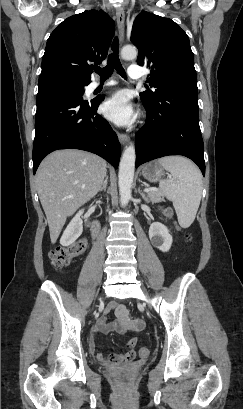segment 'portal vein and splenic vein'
<instances>
[{
  "label": "portal vein and splenic vein",
  "mask_w": 243,
  "mask_h": 409,
  "mask_svg": "<svg viewBox=\"0 0 243 409\" xmlns=\"http://www.w3.org/2000/svg\"><path fill=\"white\" fill-rule=\"evenodd\" d=\"M154 189H152V188H146L144 191L145 192H150V191H153Z\"/></svg>",
  "instance_id": "portal-vein-and-splenic-vein-1"
}]
</instances>
